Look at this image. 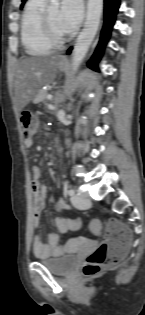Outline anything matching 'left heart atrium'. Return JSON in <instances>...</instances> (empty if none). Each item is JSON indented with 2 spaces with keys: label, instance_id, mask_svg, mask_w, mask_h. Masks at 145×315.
Returning <instances> with one entry per match:
<instances>
[{
  "label": "left heart atrium",
  "instance_id": "left-heart-atrium-1",
  "mask_svg": "<svg viewBox=\"0 0 145 315\" xmlns=\"http://www.w3.org/2000/svg\"><path fill=\"white\" fill-rule=\"evenodd\" d=\"M60 17L68 32L73 31L81 22L83 5L81 0H64L60 7Z\"/></svg>",
  "mask_w": 145,
  "mask_h": 315
}]
</instances>
